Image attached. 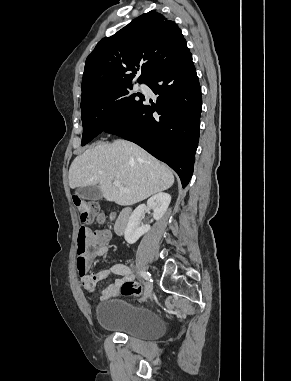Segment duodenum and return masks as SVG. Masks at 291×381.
I'll list each match as a JSON object with an SVG mask.
<instances>
[{"label":"duodenum","mask_w":291,"mask_h":381,"mask_svg":"<svg viewBox=\"0 0 291 381\" xmlns=\"http://www.w3.org/2000/svg\"><path fill=\"white\" fill-rule=\"evenodd\" d=\"M131 215V209L129 207L123 208L118 214L115 224L114 231L118 235H122L127 227L129 218Z\"/></svg>","instance_id":"duodenum-1"}]
</instances>
